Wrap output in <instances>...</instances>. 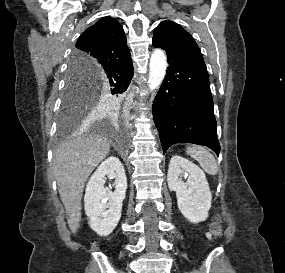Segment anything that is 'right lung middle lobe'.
Segmentation results:
<instances>
[{"label": "right lung middle lobe", "instance_id": "obj_1", "mask_svg": "<svg viewBox=\"0 0 285 273\" xmlns=\"http://www.w3.org/2000/svg\"><path fill=\"white\" fill-rule=\"evenodd\" d=\"M88 77V74L80 76L69 67L59 120L62 131L74 126L97 105L116 103L119 100L118 94L112 95L96 87L94 79Z\"/></svg>", "mask_w": 285, "mask_h": 273}]
</instances>
